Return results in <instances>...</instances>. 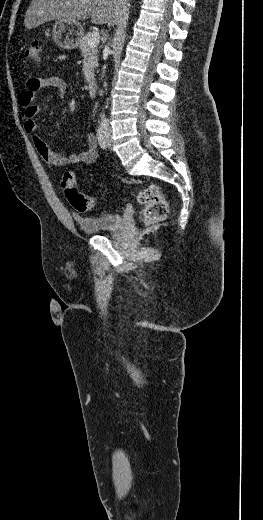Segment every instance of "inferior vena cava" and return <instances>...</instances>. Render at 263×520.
<instances>
[{
    "instance_id": "602c4592",
    "label": "inferior vena cava",
    "mask_w": 263,
    "mask_h": 520,
    "mask_svg": "<svg viewBox=\"0 0 263 520\" xmlns=\"http://www.w3.org/2000/svg\"><path fill=\"white\" fill-rule=\"evenodd\" d=\"M100 117H101V125H102L103 129H105V130H109V123H108V121L106 120L104 114H101Z\"/></svg>"
}]
</instances>
